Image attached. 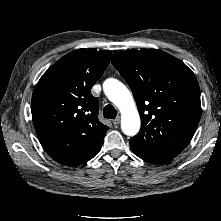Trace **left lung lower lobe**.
Here are the masks:
<instances>
[{"label": "left lung lower lobe", "mask_w": 221, "mask_h": 221, "mask_svg": "<svg viewBox=\"0 0 221 221\" xmlns=\"http://www.w3.org/2000/svg\"><path fill=\"white\" fill-rule=\"evenodd\" d=\"M131 149L138 157L152 164H164L171 161L174 158V156L144 152L141 150H137L133 147H131Z\"/></svg>", "instance_id": "left-lung-lower-lobe-1"}]
</instances>
